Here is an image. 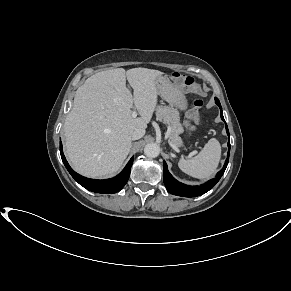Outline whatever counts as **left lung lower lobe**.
<instances>
[{
    "instance_id": "obj_1",
    "label": "left lung lower lobe",
    "mask_w": 291,
    "mask_h": 291,
    "mask_svg": "<svg viewBox=\"0 0 291 291\" xmlns=\"http://www.w3.org/2000/svg\"><path fill=\"white\" fill-rule=\"evenodd\" d=\"M215 103L219 106L220 111H221L220 116H221L222 120L225 122L224 117H223V113H222V107H221V104H220L218 98H215ZM225 125H226V123H225ZM226 132L229 136V131H228L227 125H226ZM228 147H229V150H228V155H227V159L225 161L224 167L217 173V175L214 179H211L208 182H206L200 186H189V185H185V184L177 181L169 173L168 168H167V164L164 161L163 162V181H164V184H165L167 190L173 195L182 196V197H195V196L202 195V194L206 193L207 191H209L210 189H212L216 185V183L220 180V178L224 174L225 169L228 165L229 153H230V140L228 142Z\"/></svg>"
}]
</instances>
